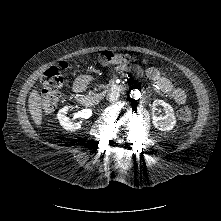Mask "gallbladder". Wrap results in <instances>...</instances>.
Listing matches in <instances>:
<instances>
[{"label": "gallbladder", "instance_id": "obj_1", "mask_svg": "<svg viewBox=\"0 0 221 221\" xmlns=\"http://www.w3.org/2000/svg\"><path fill=\"white\" fill-rule=\"evenodd\" d=\"M56 68H57V74H56L53 78L50 79V82L52 83V84H51V87H52V88H54V89H60V88H62L63 86H66V85H67V82L65 81L63 84H61L60 82H57V81L55 80V77L63 76L61 69H60L58 66H56Z\"/></svg>", "mask_w": 221, "mask_h": 221}]
</instances>
